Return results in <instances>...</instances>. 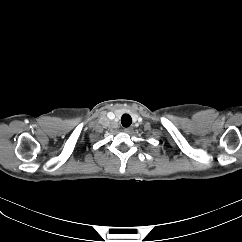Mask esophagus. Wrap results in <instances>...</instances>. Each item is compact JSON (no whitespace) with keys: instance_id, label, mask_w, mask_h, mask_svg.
<instances>
[{"instance_id":"esophagus-1","label":"esophagus","mask_w":242,"mask_h":242,"mask_svg":"<svg viewBox=\"0 0 242 242\" xmlns=\"http://www.w3.org/2000/svg\"><path fill=\"white\" fill-rule=\"evenodd\" d=\"M132 130H133L132 127H127V128L124 129V131H125L126 133H130V132H132Z\"/></svg>"}]
</instances>
